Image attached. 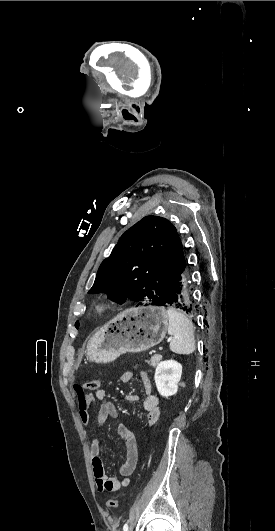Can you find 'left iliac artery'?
Masks as SVG:
<instances>
[{
	"instance_id": "44dca946",
	"label": "left iliac artery",
	"mask_w": 275,
	"mask_h": 531,
	"mask_svg": "<svg viewBox=\"0 0 275 531\" xmlns=\"http://www.w3.org/2000/svg\"><path fill=\"white\" fill-rule=\"evenodd\" d=\"M123 531H128V524L127 523L124 524Z\"/></svg>"
}]
</instances>
